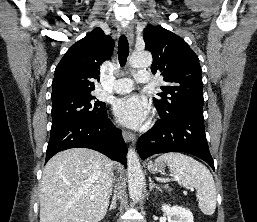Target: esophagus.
Listing matches in <instances>:
<instances>
[{
  "label": "esophagus",
  "instance_id": "esophagus-1",
  "mask_svg": "<svg viewBox=\"0 0 257 222\" xmlns=\"http://www.w3.org/2000/svg\"><path fill=\"white\" fill-rule=\"evenodd\" d=\"M123 32L126 34L130 44H133V39H134V34H133V30H132V27L130 26H127V27H123L122 28ZM122 136L124 138V140L126 142H135L136 141V137L134 134H132L131 132L129 131H125L123 130L122 132Z\"/></svg>",
  "mask_w": 257,
  "mask_h": 222
}]
</instances>
